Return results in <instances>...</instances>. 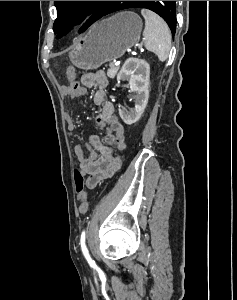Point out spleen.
<instances>
[{"instance_id": "spleen-1", "label": "spleen", "mask_w": 237, "mask_h": 300, "mask_svg": "<svg viewBox=\"0 0 237 300\" xmlns=\"http://www.w3.org/2000/svg\"><path fill=\"white\" fill-rule=\"evenodd\" d=\"M141 15L145 19L143 33L145 49L155 53L159 61H166L171 49V33L167 23L159 15L153 11H148V9H142Z\"/></svg>"}]
</instances>
